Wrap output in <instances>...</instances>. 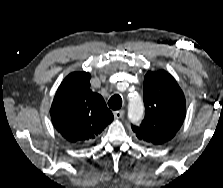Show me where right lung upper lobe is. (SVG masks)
<instances>
[{"label":"right lung upper lobe","instance_id":"obj_1","mask_svg":"<svg viewBox=\"0 0 223 188\" xmlns=\"http://www.w3.org/2000/svg\"><path fill=\"white\" fill-rule=\"evenodd\" d=\"M90 78L87 72L69 74L59 86L50 110L56 130L75 145L94 139L114 118L102 96L91 91Z\"/></svg>","mask_w":223,"mask_h":188}]
</instances>
